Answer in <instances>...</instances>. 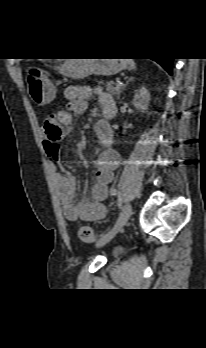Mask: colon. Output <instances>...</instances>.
<instances>
[{
    "label": "colon",
    "instance_id": "5ec220e1",
    "mask_svg": "<svg viewBox=\"0 0 206 348\" xmlns=\"http://www.w3.org/2000/svg\"><path fill=\"white\" fill-rule=\"evenodd\" d=\"M26 82L29 87L30 94L34 100L44 99L46 93L50 89H52V86L45 81L41 70L37 68H32L27 71ZM47 119L45 120V122L47 121ZM78 236L82 241L86 243H92L97 238V235L95 234L93 229L88 226H82L78 231Z\"/></svg>",
    "mask_w": 206,
    "mask_h": 348
}]
</instances>
